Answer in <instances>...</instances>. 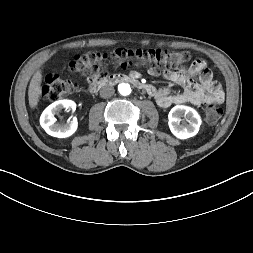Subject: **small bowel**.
<instances>
[{"label": "small bowel", "mask_w": 253, "mask_h": 253, "mask_svg": "<svg viewBox=\"0 0 253 253\" xmlns=\"http://www.w3.org/2000/svg\"><path fill=\"white\" fill-rule=\"evenodd\" d=\"M147 73L151 77L163 78L182 87V91L173 93L168 87L156 89L148 93L154 98L158 106L168 108L175 104L190 103L201 105L208 103H221L224 100V92L220 85L214 81L205 61L197 59L188 69L183 64L177 66H163L148 68ZM198 76V82L194 78Z\"/></svg>", "instance_id": "c3829d8e"}]
</instances>
